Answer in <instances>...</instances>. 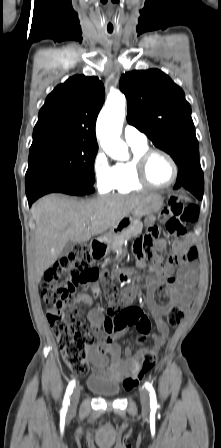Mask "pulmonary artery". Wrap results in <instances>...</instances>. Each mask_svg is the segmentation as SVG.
<instances>
[{
	"label": "pulmonary artery",
	"mask_w": 221,
	"mask_h": 448,
	"mask_svg": "<svg viewBox=\"0 0 221 448\" xmlns=\"http://www.w3.org/2000/svg\"><path fill=\"white\" fill-rule=\"evenodd\" d=\"M123 137L130 146H144L147 144V137L138 128L127 124L124 128Z\"/></svg>",
	"instance_id": "e3ab8cb5"
}]
</instances>
